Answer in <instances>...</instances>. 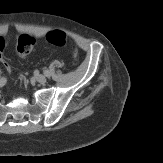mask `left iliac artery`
Returning <instances> with one entry per match:
<instances>
[{
	"label": "left iliac artery",
	"mask_w": 163,
	"mask_h": 163,
	"mask_svg": "<svg viewBox=\"0 0 163 163\" xmlns=\"http://www.w3.org/2000/svg\"><path fill=\"white\" fill-rule=\"evenodd\" d=\"M44 74H45V76H47V77H49L51 74H50V72L48 71V70H45L44 71Z\"/></svg>",
	"instance_id": "obj_1"
}]
</instances>
